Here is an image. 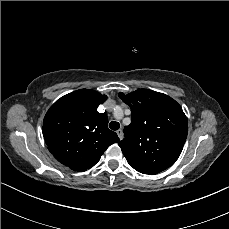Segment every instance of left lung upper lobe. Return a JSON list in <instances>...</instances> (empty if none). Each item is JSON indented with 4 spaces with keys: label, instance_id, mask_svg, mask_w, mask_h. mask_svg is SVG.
<instances>
[{
    "label": "left lung upper lobe",
    "instance_id": "1",
    "mask_svg": "<svg viewBox=\"0 0 229 229\" xmlns=\"http://www.w3.org/2000/svg\"><path fill=\"white\" fill-rule=\"evenodd\" d=\"M131 108V124L124 127L119 146L129 165L143 174H157L172 166L188 134L187 118L171 97L149 89L119 93Z\"/></svg>",
    "mask_w": 229,
    "mask_h": 229
}]
</instances>
